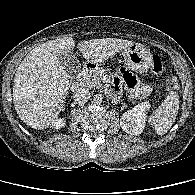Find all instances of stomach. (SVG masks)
<instances>
[{
  "mask_svg": "<svg viewBox=\"0 0 195 195\" xmlns=\"http://www.w3.org/2000/svg\"><path fill=\"white\" fill-rule=\"evenodd\" d=\"M123 57L126 65L137 73L148 71L152 64V55L142 44L136 43L124 49Z\"/></svg>",
  "mask_w": 195,
  "mask_h": 195,
  "instance_id": "obj_1",
  "label": "stomach"
}]
</instances>
